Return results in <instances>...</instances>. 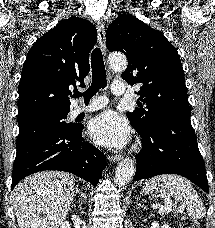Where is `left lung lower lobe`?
<instances>
[{
	"label": "left lung lower lobe",
	"mask_w": 215,
	"mask_h": 228,
	"mask_svg": "<svg viewBox=\"0 0 215 228\" xmlns=\"http://www.w3.org/2000/svg\"><path fill=\"white\" fill-rule=\"evenodd\" d=\"M139 135L143 149L135 157L134 181L161 174H178L209 193L205 164L190 116L159 119L148 132Z\"/></svg>",
	"instance_id": "1"
}]
</instances>
